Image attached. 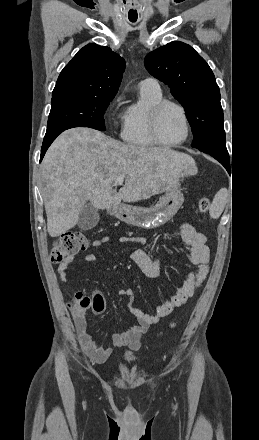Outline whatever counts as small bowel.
I'll use <instances>...</instances> for the list:
<instances>
[{
  "label": "small bowel",
  "mask_w": 259,
  "mask_h": 440,
  "mask_svg": "<svg viewBox=\"0 0 259 440\" xmlns=\"http://www.w3.org/2000/svg\"><path fill=\"white\" fill-rule=\"evenodd\" d=\"M180 237L179 246L187 250L186 258L191 265L196 267V270L190 269L186 274L185 280L178 286L176 293L167 301L157 304L154 315L147 314L135 307L133 298L134 292L131 288L120 289L118 294L128 298V310L136 318L137 323L128 330L112 333L110 340L114 346H128L132 349H138L140 347L141 337L149 327L153 324H157L174 309L186 304L205 280L209 272L210 263V250L206 244L207 239L205 235L197 232L190 223L185 222L180 227ZM109 241V237L105 236L93 240L92 246L98 248ZM141 241L142 238L139 237H121L118 240L119 243ZM95 259L94 254H88L84 257L86 262H92ZM132 259L148 277L156 278L160 275L162 269L161 261L152 258L144 250H135L132 253ZM73 261L74 257H68L60 263L58 274L61 280L67 278ZM93 297L95 299L93 305L94 313L96 315L104 313L106 305L103 295L99 292H95ZM76 331L80 345L88 357L96 362H103L109 358L112 349L100 346L92 339L87 330V324L83 314L76 318Z\"/></svg>",
  "instance_id": "c3829d8e"
}]
</instances>
